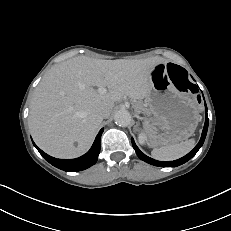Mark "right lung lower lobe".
Returning <instances> with one entry per match:
<instances>
[{
  "label": "right lung lower lobe",
  "mask_w": 231,
  "mask_h": 231,
  "mask_svg": "<svg viewBox=\"0 0 231 231\" xmlns=\"http://www.w3.org/2000/svg\"><path fill=\"white\" fill-rule=\"evenodd\" d=\"M103 133V128L99 131L98 135L95 138V141L90 148V150L84 154L83 156L76 158V159H56L48 154L44 153L41 149H39L35 143L33 142L34 146L40 152V154L51 163L53 166L69 172H76L82 171L84 169L89 168L90 166L94 165L98 159V155L100 153V140L101 135Z\"/></svg>",
  "instance_id": "right-lung-lower-lobe-1"
}]
</instances>
